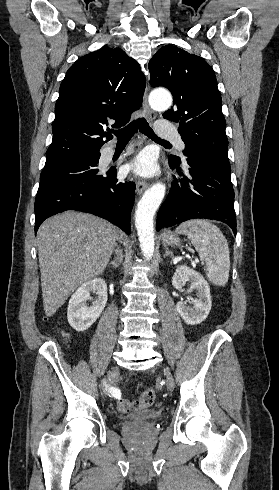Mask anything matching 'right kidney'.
Listing matches in <instances>:
<instances>
[{
	"label": "right kidney",
	"instance_id": "1",
	"mask_svg": "<svg viewBox=\"0 0 279 490\" xmlns=\"http://www.w3.org/2000/svg\"><path fill=\"white\" fill-rule=\"evenodd\" d=\"M90 292H96L98 298L93 302V306L88 308L86 302L90 300ZM107 298V284L102 278H93L89 282H84L69 300L67 320L70 326L76 332L88 330L103 312Z\"/></svg>",
	"mask_w": 279,
	"mask_h": 490
}]
</instances>
